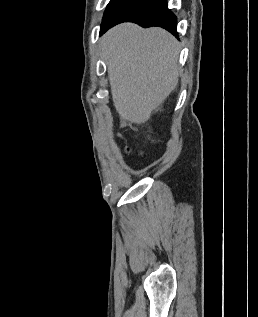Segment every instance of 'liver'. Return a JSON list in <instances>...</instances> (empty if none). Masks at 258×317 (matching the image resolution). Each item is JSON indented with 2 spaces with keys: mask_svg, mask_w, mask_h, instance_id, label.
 I'll list each match as a JSON object with an SVG mask.
<instances>
[{
  "mask_svg": "<svg viewBox=\"0 0 258 317\" xmlns=\"http://www.w3.org/2000/svg\"><path fill=\"white\" fill-rule=\"evenodd\" d=\"M114 106L122 122L142 124L178 84L179 42L164 28L122 22L103 36Z\"/></svg>",
  "mask_w": 258,
  "mask_h": 317,
  "instance_id": "1",
  "label": "liver"
}]
</instances>
